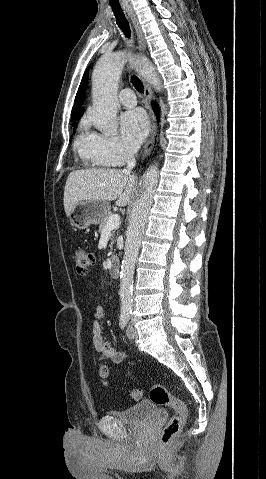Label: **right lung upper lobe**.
Wrapping results in <instances>:
<instances>
[{"mask_svg":"<svg viewBox=\"0 0 266 479\" xmlns=\"http://www.w3.org/2000/svg\"><path fill=\"white\" fill-rule=\"evenodd\" d=\"M87 81H88V71L84 73L80 86L78 88L76 97H75V102L79 105L83 104L84 97L86 94ZM77 104H74L72 108L71 120H78L84 112L83 109L80 108Z\"/></svg>","mask_w":266,"mask_h":479,"instance_id":"cb5924a9","label":"right lung upper lobe"}]
</instances>
